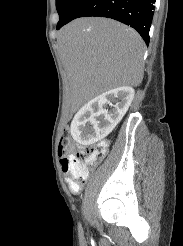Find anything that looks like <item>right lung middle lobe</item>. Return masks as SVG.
<instances>
[{
    "instance_id": "1",
    "label": "right lung middle lobe",
    "mask_w": 183,
    "mask_h": 246,
    "mask_svg": "<svg viewBox=\"0 0 183 246\" xmlns=\"http://www.w3.org/2000/svg\"><path fill=\"white\" fill-rule=\"evenodd\" d=\"M78 1L79 0H56V9L60 19L58 24L67 20Z\"/></svg>"
}]
</instances>
